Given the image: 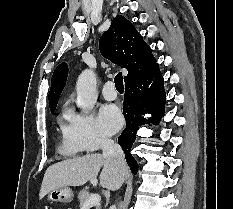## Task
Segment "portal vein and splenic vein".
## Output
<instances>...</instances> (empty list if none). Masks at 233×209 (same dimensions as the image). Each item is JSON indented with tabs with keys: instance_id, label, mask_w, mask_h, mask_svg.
<instances>
[{
	"instance_id": "18ae733b",
	"label": "portal vein and splenic vein",
	"mask_w": 233,
	"mask_h": 209,
	"mask_svg": "<svg viewBox=\"0 0 233 209\" xmlns=\"http://www.w3.org/2000/svg\"><path fill=\"white\" fill-rule=\"evenodd\" d=\"M101 201V197L99 194H93L89 197V199L85 202L82 209H88L92 206L99 205Z\"/></svg>"
}]
</instances>
